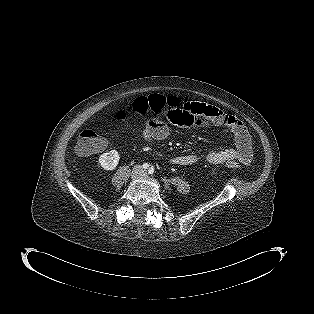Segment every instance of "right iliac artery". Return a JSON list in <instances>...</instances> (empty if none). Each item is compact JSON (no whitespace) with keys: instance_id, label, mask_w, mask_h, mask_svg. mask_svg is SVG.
<instances>
[{"instance_id":"1","label":"right iliac artery","mask_w":314,"mask_h":314,"mask_svg":"<svg viewBox=\"0 0 314 314\" xmlns=\"http://www.w3.org/2000/svg\"><path fill=\"white\" fill-rule=\"evenodd\" d=\"M142 167H143V169H148L149 164H148V163H144V164L142 165Z\"/></svg>"}]
</instances>
